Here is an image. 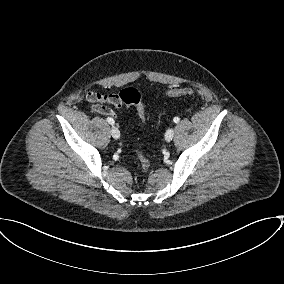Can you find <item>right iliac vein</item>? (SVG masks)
<instances>
[{"label":"right iliac vein","instance_id":"obj_1","mask_svg":"<svg viewBox=\"0 0 284 284\" xmlns=\"http://www.w3.org/2000/svg\"><path fill=\"white\" fill-rule=\"evenodd\" d=\"M110 132H111V135H112V137H113L114 139H119V137H120V132H119V130H118L117 127L112 126Z\"/></svg>","mask_w":284,"mask_h":284}]
</instances>
